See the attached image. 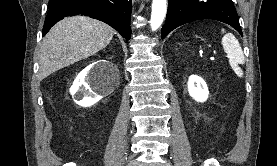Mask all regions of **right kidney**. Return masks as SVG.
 I'll return each mask as SVG.
<instances>
[{
  "label": "right kidney",
  "mask_w": 277,
  "mask_h": 166,
  "mask_svg": "<svg viewBox=\"0 0 277 166\" xmlns=\"http://www.w3.org/2000/svg\"><path fill=\"white\" fill-rule=\"evenodd\" d=\"M99 64H108V62L101 60ZM97 65H89L81 71L70 88L71 95L75 97V103L82 107H90L102 98L101 95L92 91V88L99 87V84L93 78ZM112 86H116V84L114 83Z\"/></svg>",
  "instance_id": "1"
}]
</instances>
